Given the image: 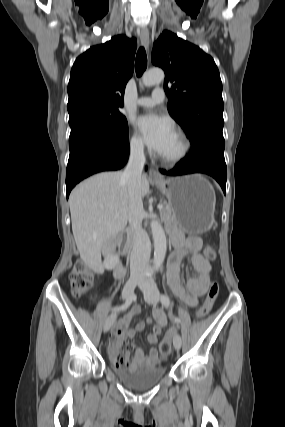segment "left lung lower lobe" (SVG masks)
Here are the masks:
<instances>
[{
    "label": "left lung lower lobe",
    "instance_id": "1",
    "mask_svg": "<svg viewBox=\"0 0 285 427\" xmlns=\"http://www.w3.org/2000/svg\"><path fill=\"white\" fill-rule=\"evenodd\" d=\"M223 136L206 134L192 143L189 156L183 158L173 169L161 173L169 176L205 173L214 177L225 193L227 168L224 159Z\"/></svg>",
    "mask_w": 285,
    "mask_h": 427
}]
</instances>
